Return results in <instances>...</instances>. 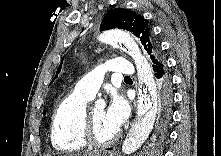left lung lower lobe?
Listing matches in <instances>:
<instances>
[{"label":"left lung lower lobe","mask_w":221,"mask_h":156,"mask_svg":"<svg viewBox=\"0 0 221 156\" xmlns=\"http://www.w3.org/2000/svg\"><path fill=\"white\" fill-rule=\"evenodd\" d=\"M156 94H155V126L153 141L165 138L172 111L171 76L165 61L153 66Z\"/></svg>","instance_id":"1"}]
</instances>
